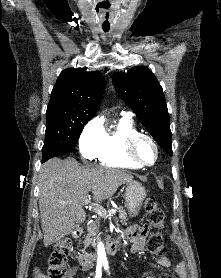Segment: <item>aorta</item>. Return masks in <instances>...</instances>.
<instances>
[{
	"label": "aorta",
	"mask_w": 221,
	"mask_h": 278,
	"mask_svg": "<svg viewBox=\"0 0 221 278\" xmlns=\"http://www.w3.org/2000/svg\"><path fill=\"white\" fill-rule=\"evenodd\" d=\"M97 261L99 263H104L107 261V257H106V252H105V247L104 244L102 242L98 243L97 246Z\"/></svg>",
	"instance_id": "762f6f07"
}]
</instances>
